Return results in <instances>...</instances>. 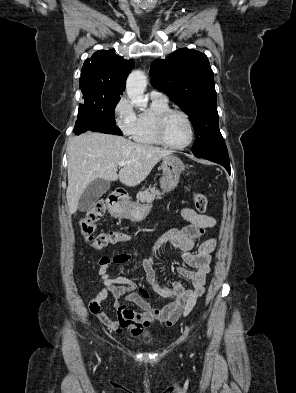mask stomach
<instances>
[{"label":"stomach","mask_w":296,"mask_h":393,"mask_svg":"<svg viewBox=\"0 0 296 393\" xmlns=\"http://www.w3.org/2000/svg\"><path fill=\"white\" fill-rule=\"evenodd\" d=\"M163 176L160 180V187L163 192H170L179 183L181 172L185 166L181 159L176 156H166L162 160ZM152 205L136 203H121L118 205L115 214L119 218L130 219L132 221H142L151 211Z\"/></svg>","instance_id":"obj_1"}]
</instances>
